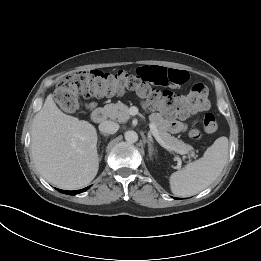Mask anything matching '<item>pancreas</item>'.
Instances as JSON below:
<instances>
[{
  "mask_svg": "<svg viewBox=\"0 0 261 261\" xmlns=\"http://www.w3.org/2000/svg\"><path fill=\"white\" fill-rule=\"evenodd\" d=\"M104 109L111 120L118 121L119 123H125L130 118L128 106L121 102L107 104ZM151 121L156 125L159 136L173 151L179 154H186L193 150L192 146L169 134L155 119H151Z\"/></svg>",
  "mask_w": 261,
  "mask_h": 261,
  "instance_id": "1",
  "label": "pancreas"
}]
</instances>
